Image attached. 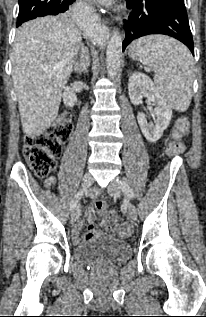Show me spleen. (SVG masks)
Instances as JSON below:
<instances>
[{"instance_id":"obj_1","label":"spleen","mask_w":206,"mask_h":317,"mask_svg":"<svg viewBox=\"0 0 206 317\" xmlns=\"http://www.w3.org/2000/svg\"><path fill=\"white\" fill-rule=\"evenodd\" d=\"M129 56L154 71L155 87L172 109L180 112L188 109L192 98L194 62L183 44L166 36H146L130 45Z\"/></svg>"}]
</instances>
